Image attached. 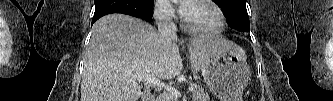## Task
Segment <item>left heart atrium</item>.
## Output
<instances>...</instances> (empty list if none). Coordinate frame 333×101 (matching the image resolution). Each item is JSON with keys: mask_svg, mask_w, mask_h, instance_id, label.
Returning a JSON list of instances; mask_svg holds the SVG:
<instances>
[{"mask_svg": "<svg viewBox=\"0 0 333 101\" xmlns=\"http://www.w3.org/2000/svg\"><path fill=\"white\" fill-rule=\"evenodd\" d=\"M181 11H182V12L184 11V7L181 8Z\"/></svg>", "mask_w": 333, "mask_h": 101, "instance_id": "1", "label": "left heart atrium"}]
</instances>
